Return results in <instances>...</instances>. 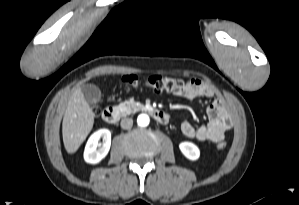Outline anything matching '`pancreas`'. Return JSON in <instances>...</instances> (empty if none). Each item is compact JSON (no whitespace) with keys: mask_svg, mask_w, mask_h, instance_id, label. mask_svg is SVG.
<instances>
[{"mask_svg":"<svg viewBox=\"0 0 299 205\" xmlns=\"http://www.w3.org/2000/svg\"><path fill=\"white\" fill-rule=\"evenodd\" d=\"M117 109H119L124 115H129L143 110L144 106L140 102H135L134 100H125L117 106Z\"/></svg>","mask_w":299,"mask_h":205,"instance_id":"pancreas-1","label":"pancreas"}]
</instances>
